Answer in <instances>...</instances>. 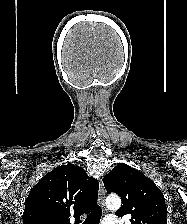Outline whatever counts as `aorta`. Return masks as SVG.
<instances>
[{"label": "aorta", "instance_id": "obj_1", "mask_svg": "<svg viewBox=\"0 0 187 224\" xmlns=\"http://www.w3.org/2000/svg\"><path fill=\"white\" fill-rule=\"evenodd\" d=\"M121 206V199L118 196H108L106 198V207L110 210H118Z\"/></svg>", "mask_w": 187, "mask_h": 224}]
</instances>
